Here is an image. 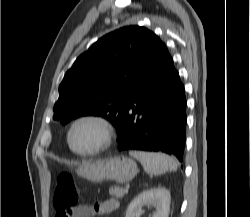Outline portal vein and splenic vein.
<instances>
[{"label":"portal vein and splenic vein","instance_id":"obj_1","mask_svg":"<svg viewBox=\"0 0 250 217\" xmlns=\"http://www.w3.org/2000/svg\"><path fill=\"white\" fill-rule=\"evenodd\" d=\"M124 191H125V193H127V192H128V187H126V188L124 189Z\"/></svg>","mask_w":250,"mask_h":217}]
</instances>
